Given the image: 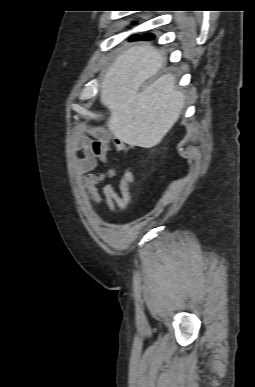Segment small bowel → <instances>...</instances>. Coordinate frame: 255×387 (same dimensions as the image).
<instances>
[{
    "mask_svg": "<svg viewBox=\"0 0 255 387\" xmlns=\"http://www.w3.org/2000/svg\"><path fill=\"white\" fill-rule=\"evenodd\" d=\"M74 150L81 153L76 162V174L84 184L87 194L94 204H100L102 197L97 186L116 174L113 166L105 172H94L100 162L108 163V153H128V146L121 140H112L103 131L88 130L79 126L74 134ZM135 181V174L125 170L119 182L118 192L110 184L103 187L106 203L111 211L116 208L126 210L131 203L130 186Z\"/></svg>",
    "mask_w": 255,
    "mask_h": 387,
    "instance_id": "obj_1",
    "label": "small bowel"
}]
</instances>
